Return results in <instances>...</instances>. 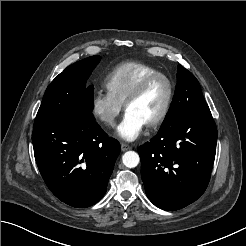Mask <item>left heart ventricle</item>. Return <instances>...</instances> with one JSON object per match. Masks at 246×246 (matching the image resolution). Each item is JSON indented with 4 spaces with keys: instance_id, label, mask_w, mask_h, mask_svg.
I'll list each match as a JSON object with an SVG mask.
<instances>
[{
    "instance_id": "left-heart-ventricle-1",
    "label": "left heart ventricle",
    "mask_w": 246,
    "mask_h": 246,
    "mask_svg": "<svg viewBox=\"0 0 246 246\" xmlns=\"http://www.w3.org/2000/svg\"><path fill=\"white\" fill-rule=\"evenodd\" d=\"M167 95V83L163 79H156L137 100L128 106L127 111L135 113L147 124L160 114Z\"/></svg>"
}]
</instances>
